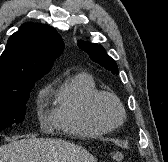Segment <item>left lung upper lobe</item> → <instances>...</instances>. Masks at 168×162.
Here are the masks:
<instances>
[{
    "label": "left lung upper lobe",
    "mask_w": 168,
    "mask_h": 162,
    "mask_svg": "<svg viewBox=\"0 0 168 162\" xmlns=\"http://www.w3.org/2000/svg\"><path fill=\"white\" fill-rule=\"evenodd\" d=\"M78 46L89 55L91 60L111 71L113 74L118 75L116 62L107 55L102 46L97 45L96 43H89L81 40L78 41Z\"/></svg>",
    "instance_id": "left-lung-upper-lobe-1"
}]
</instances>
